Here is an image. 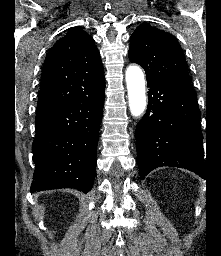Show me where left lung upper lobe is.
Masks as SVG:
<instances>
[{
  "label": "left lung upper lobe",
  "mask_w": 221,
  "mask_h": 256,
  "mask_svg": "<svg viewBox=\"0 0 221 256\" xmlns=\"http://www.w3.org/2000/svg\"><path fill=\"white\" fill-rule=\"evenodd\" d=\"M129 60L141 65L147 80L190 83L187 63L176 38L143 23L130 37Z\"/></svg>",
  "instance_id": "1"
}]
</instances>
